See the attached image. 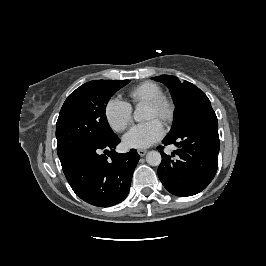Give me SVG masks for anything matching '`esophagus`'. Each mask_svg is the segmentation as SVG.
I'll return each mask as SVG.
<instances>
[{"instance_id":"esophagus-1","label":"esophagus","mask_w":266,"mask_h":266,"mask_svg":"<svg viewBox=\"0 0 266 266\" xmlns=\"http://www.w3.org/2000/svg\"><path fill=\"white\" fill-rule=\"evenodd\" d=\"M137 152H138V154H139L141 157H143V156L146 155L147 150H145V149H139Z\"/></svg>"}]
</instances>
